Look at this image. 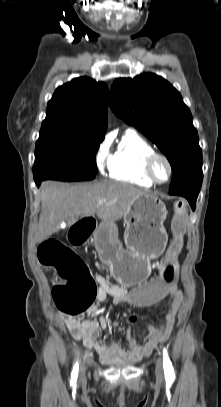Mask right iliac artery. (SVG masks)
I'll return each instance as SVG.
<instances>
[{"instance_id": "obj_1", "label": "right iliac artery", "mask_w": 221, "mask_h": 407, "mask_svg": "<svg viewBox=\"0 0 221 407\" xmlns=\"http://www.w3.org/2000/svg\"><path fill=\"white\" fill-rule=\"evenodd\" d=\"M78 369H79V365L78 362L75 363L74 367H73V371L71 374L72 379L76 380L77 376H78Z\"/></svg>"}]
</instances>
